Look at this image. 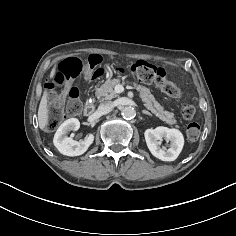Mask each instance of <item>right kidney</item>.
<instances>
[{"label": "right kidney", "mask_w": 236, "mask_h": 236, "mask_svg": "<svg viewBox=\"0 0 236 236\" xmlns=\"http://www.w3.org/2000/svg\"><path fill=\"white\" fill-rule=\"evenodd\" d=\"M80 127V122L76 118H70L64 121L57 129L53 143L58 151L67 156H79L87 151L89 146L94 141V135L89 134L84 140L80 142L68 137L70 131H77Z\"/></svg>", "instance_id": "ca27d5eb"}]
</instances>
